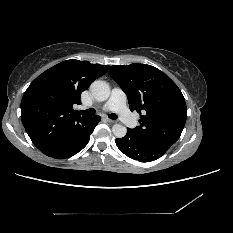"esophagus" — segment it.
<instances>
[{"instance_id": "34e87169", "label": "esophagus", "mask_w": 233, "mask_h": 233, "mask_svg": "<svg viewBox=\"0 0 233 233\" xmlns=\"http://www.w3.org/2000/svg\"><path fill=\"white\" fill-rule=\"evenodd\" d=\"M105 120H106L108 123H111V124L115 123V121H113V120H111V119H109V118H105Z\"/></svg>"}]
</instances>
